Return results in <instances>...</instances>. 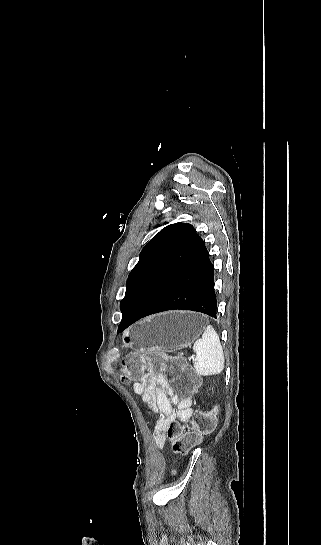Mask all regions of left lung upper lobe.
<instances>
[{"instance_id":"obj_1","label":"left lung upper lobe","mask_w":321,"mask_h":545,"mask_svg":"<svg viewBox=\"0 0 321 545\" xmlns=\"http://www.w3.org/2000/svg\"><path fill=\"white\" fill-rule=\"evenodd\" d=\"M186 226L185 223H175L162 228L142 249L138 263L129 274L125 297L120 303L123 316L127 315L151 278L163 265Z\"/></svg>"}]
</instances>
